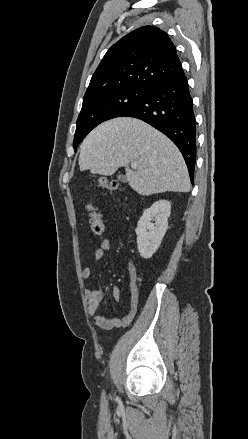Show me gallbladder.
Segmentation results:
<instances>
[{
	"label": "gallbladder",
	"instance_id": "bac80fb5",
	"mask_svg": "<svg viewBox=\"0 0 248 439\" xmlns=\"http://www.w3.org/2000/svg\"><path fill=\"white\" fill-rule=\"evenodd\" d=\"M118 179L121 180V181H123V182L126 181V178H125V176H123V175H119V176H118Z\"/></svg>",
	"mask_w": 248,
	"mask_h": 439
}]
</instances>
